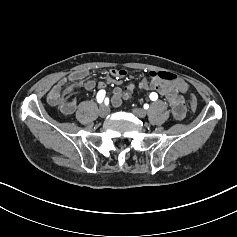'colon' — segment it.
<instances>
[{
  "label": "colon",
  "mask_w": 237,
  "mask_h": 237,
  "mask_svg": "<svg viewBox=\"0 0 237 237\" xmlns=\"http://www.w3.org/2000/svg\"><path fill=\"white\" fill-rule=\"evenodd\" d=\"M155 76L158 78V79H161V80H167V81H178L179 79L177 78V76H175L174 74L172 73H168V72H157L155 74ZM77 88V85L76 84H73L71 85L67 91L68 92H72L74 91L75 89ZM131 91L130 88L127 89V92L129 93ZM190 108L192 110V112H195L197 110V101H196V98L191 95L190 97Z\"/></svg>",
  "instance_id": "obj_1"
}]
</instances>
